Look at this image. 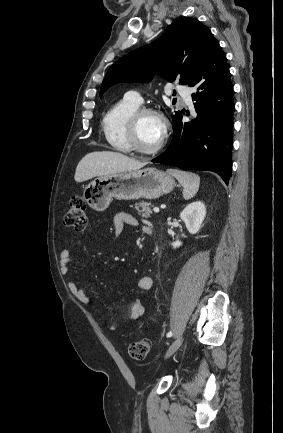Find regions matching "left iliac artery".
Wrapping results in <instances>:
<instances>
[{
    "instance_id": "left-iliac-artery-1",
    "label": "left iliac artery",
    "mask_w": 283,
    "mask_h": 433,
    "mask_svg": "<svg viewBox=\"0 0 283 433\" xmlns=\"http://www.w3.org/2000/svg\"><path fill=\"white\" fill-rule=\"evenodd\" d=\"M172 336V331L167 333V337H171Z\"/></svg>"
}]
</instances>
